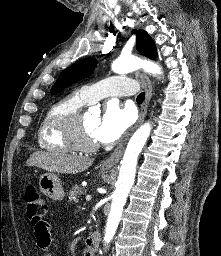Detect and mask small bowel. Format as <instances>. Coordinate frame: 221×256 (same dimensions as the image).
Listing matches in <instances>:
<instances>
[{"label":"small bowel","mask_w":221,"mask_h":256,"mask_svg":"<svg viewBox=\"0 0 221 256\" xmlns=\"http://www.w3.org/2000/svg\"><path fill=\"white\" fill-rule=\"evenodd\" d=\"M35 238L38 247L45 252V256H52L50 252L52 245L51 227L48 222L45 228L41 230L35 229ZM84 256H91V251L88 248L86 249Z\"/></svg>","instance_id":"1"}]
</instances>
